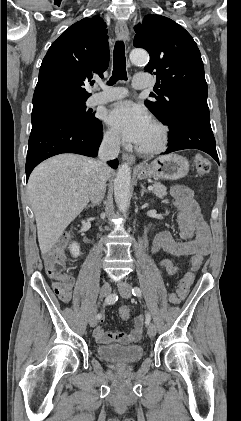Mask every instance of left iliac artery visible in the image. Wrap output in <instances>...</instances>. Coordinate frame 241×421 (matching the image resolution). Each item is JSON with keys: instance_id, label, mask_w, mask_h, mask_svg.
<instances>
[{"instance_id": "44dca946", "label": "left iliac artery", "mask_w": 241, "mask_h": 421, "mask_svg": "<svg viewBox=\"0 0 241 421\" xmlns=\"http://www.w3.org/2000/svg\"><path fill=\"white\" fill-rule=\"evenodd\" d=\"M132 294L136 297H141L142 296L141 289L137 286L132 288ZM150 321H151V315H150V313H147L146 314V321H145L146 325H149Z\"/></svg>"}]
</instances>
